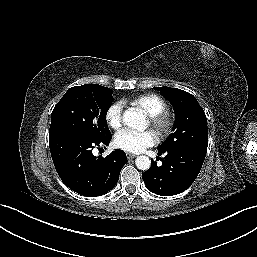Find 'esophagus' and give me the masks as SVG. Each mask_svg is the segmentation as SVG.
I'll return each instance as SVG.
<instances>
[{"instance_id": "1", "label": "esophagus", "mask_w": 257, "mask_h": 257, "mask_svg": "<svg viewBox=\"0 0 257 257\" xmlns=\"http://www.w3.org/2000/svg\"><path fill=\"white\" fill-rule=\"evenodd\" d=\"M126 156H127L128 159H133V158L136 157V155L132 154V153H126Z\"/></svg>"}]
</instances>
